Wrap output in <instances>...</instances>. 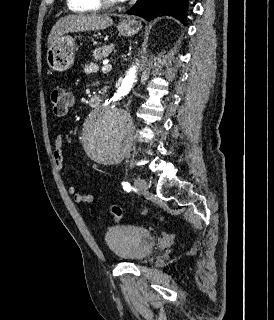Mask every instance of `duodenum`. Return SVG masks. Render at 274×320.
Instances as JSON below:
<instances>
[{"label":"duodenum","instance_id":"obj_1","mask_svg":"<svg viewBox=\"0 0 274 320\" xmlns=\"http://www.w3.org/2000/svg\"><path fill=\"white\" fill-rule=\"evenodd\" d=\"M100 102H101V98L99 96H97V95H94L89 99V104L92 107L99 106Z\"/></svg>","mask_w":274,"mask_h":320}]
</instances>
